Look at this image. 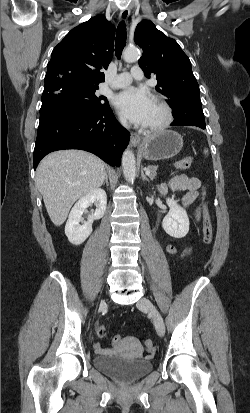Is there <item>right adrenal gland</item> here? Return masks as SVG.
Wrapping results in <instances>:
<instances>
[{
  "label": "right adrenal gland",
  "mask_w": 250,
  "mask_h": 413,
  "mask_svg": "<svg viewBox=\"0 0 250 413\" xmlns=\"http://www.w3.org/2000/svg\"><path fill=\"white\" fill-rule=\"evenodd\" d=\"M106 184V186L108 187L109 186V184H108V175H107V173L105 174V181L103 182V184L102 185H105Z\"/></svg>",
  "instance_id": "2a0ac1e0"
}]
</instances>
